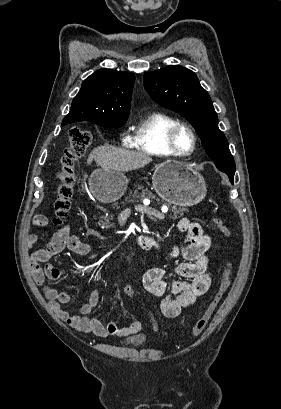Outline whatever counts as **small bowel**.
I'll return each mask as SVG.
<instances>
[{"mask_svg": "<svg viewBox=\"0 0 281 409\" xmlns=\"http://www.w3.org/2000/svg\"><path fill=\"white\" fill-rule=\"evenodd\" d=\"M48 221L47 215H37L36 219L32 221V226H27L26 232L29 236L26 239V247L28 249L37 243V235H47V226H39V224H47ZM177 227L183 236L182 245L174 244L166 249L152 238L151 245L152 249L156 250L165 261L183 259L171 270L180 279L172 282L169 287L165 281L167 270L162 267L150 268L142 278L143 287L147 292L155 297H163L161 311L167 318L178 316L183 308L192 305L197 297L208 291L212 282V274L209 271L210 261L207 257L211 237L203 231L200 224L192 222L188 218L180 219ZM66 249L85 256L89 254L91 248L78 236L71 234L68 226H64L53 234L45 248L31 253L34 280L39 286H43L44 295L52 304L58 317L80 332L93 333L99 337H126L141 332L144 328V323L141 320L120 327L114 322L104 325L99 320L89 317L99 302L97 289L91 292L87 303L78 308L77 314L63 309V305L70 303L71 294L66 291H57L46 285L45 282L47 279L55 281L61 278V271L49 261L53 256ZM42 264H44L43 267ZM169 288L170 292L167 293ZM122 292L128 297H132L135 293L131 285H126ZM148 317L151 321L154 320L151 312H148Z\"/></svg>", "mask_w": 281, "mask_h": 409, "instance_id": "small-bowel-1", "label": "small bowel"}]
</instances>
